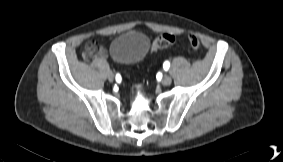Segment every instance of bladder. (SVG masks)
<instances>
[{
    "mask_svg": "<svg viewBox=\"0 0 283 162\" xmlns=\"http://www.w3.org/2000/svg\"><path fill=\"white\" fill-rule=\"evenodd\" d=\"M149 38L137 31H127L117 36L110 45L112 58L121 63L141 61L149 51Z\"/></svg>",
    "mask_w": 283,
    "mask_h": 162,
    "instance_id": "31cf9c89",
    "label": "bladder"
}]
</instances>
